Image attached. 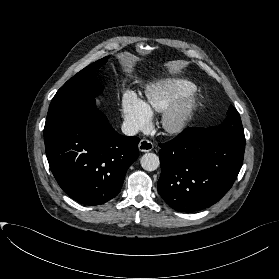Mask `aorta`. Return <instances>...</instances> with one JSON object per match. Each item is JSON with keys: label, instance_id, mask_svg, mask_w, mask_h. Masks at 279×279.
Masks as SVG:
<instances>
[{"label": "aorta", "instance_id": "aorta-1", "mask_svg": "<svg viewBox=\"0 0 279 279\" xmlns=\"http://www.w3.org/2000/svg\"><path fill=\"white\" fill-rule=\"evenodd\" d=\"M141 166L146 171H154L160 165L159 157L154 153H145L140 160Z\"/></svg>", "mask_w": 279, "mask_h": 279}]
</instances>
